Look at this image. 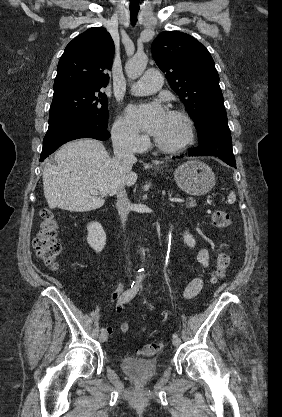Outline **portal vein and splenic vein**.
<instances>
[{
    "instance_id": "portal-vein-and-splenic-vein-1",
    "label": "portal vein and splenic vein",
    "mask_w": 282,
    "mask_h": 417,
    "mask_svg": "<svg viewBox=\"0 0 282 417\" xmlns=\"http://www.w3.org/2000/svg\"><path fill=\"white\" fill-rule=\"evenodd\" d=\"M95 194H100V192H98V190H94ZM169 200H171L172 203H177V202H186V199H179V198H169Z\"/></svg>"
}]
</instances>
